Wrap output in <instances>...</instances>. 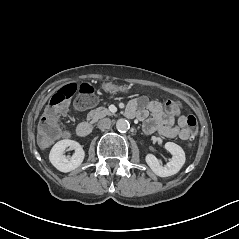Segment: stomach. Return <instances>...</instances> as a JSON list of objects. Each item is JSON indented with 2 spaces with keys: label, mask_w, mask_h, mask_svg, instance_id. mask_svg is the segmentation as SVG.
<instances>
[{
  "label": "stomach",
  "mask_w": 239,
  "mask_h": 239,
  "mask_svg": "<svg viewBox=\"0 0 239 239\" xmlns=\"http://www.w3.org/2000/svg\"><path fill=\"white\" fill-rule=\"evenodd\" d=\"M101 88L108 94H128L129 87L127 84H116L114 82H103Z\"/></svg>",
  "instance_id": "stomach-1"
}]
</instances>
